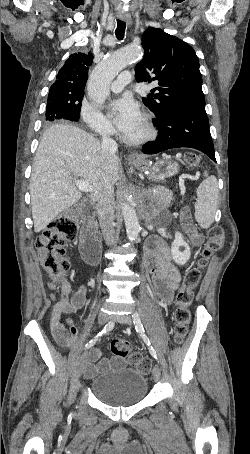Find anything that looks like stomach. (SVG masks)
<instances>
[{
  "mask_svg": "<svg viewBox=\"0 0 250 454\" xmlns=\"http://www.w3.org/2000/svg\"><path fill=\"white\" fill-rule=\"evenodd\" d=\"M130 163L138 170L148 172L150 178L154 180H163L178 173V164L169 158H162L152 164L149 159L140 156L137 159H131Z\"/></svg>",
  "mask_w": 250,
  "mask_h": 454,
  "instance_id": "0dacf381",
  "label": "stomach"
}]
</instances>
